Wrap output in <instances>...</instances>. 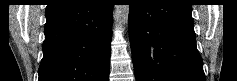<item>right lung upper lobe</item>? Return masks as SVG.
<instances>
[{
	"label": "right lung upper lobe",
	"mask_w": 237,
	"mask_h": 81,
	"mask_svg": "<svg viewBox=\"0 0 237 81\" xmlns=\"http://www.w3.org/2000/svg\"><path fill=\"white\" fill-rule=\"evenodd\" d=\"M70 1H72V0H50V3L47 5L46 10L61 6V5L66 4Z\"/></svg>",
	"instance_id": "cb5924a9"
}]
</instances>
